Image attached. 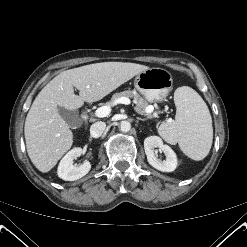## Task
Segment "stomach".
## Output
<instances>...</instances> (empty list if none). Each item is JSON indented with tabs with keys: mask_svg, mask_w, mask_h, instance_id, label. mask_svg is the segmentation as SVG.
<instances>
[{
	"mask_svg": "<svg viewBox=\"0 0 247 247\" xmlns=\"http://www.w3.org/2000/svg\"><path fill=\"white\" fill-rule=\"evenodd\" d=\"M134 86L149 102H163L173 87V78L163 68H149L136 76Z\"/></svg>",
	"mask_w": 247,
	"mask_h": 247,
	"instance_id": "stomach-1",
	"label": "stomach"
}]
</instances>
